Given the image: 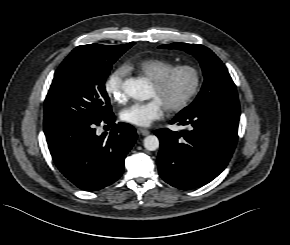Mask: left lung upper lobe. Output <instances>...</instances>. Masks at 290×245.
<instances>
[{
	"instance_id": "5c2ea615",
	"label": "left lung upper lobe",
	"mask_w": 290,
	"mask_h": 245,
	"mask_svg": "<svg viewBox=\"0 0 290 245\" xmlns=\"http://www.w3.org/2000/svg\"><path fill=\"white\" fill-rule=\"evenodd\" d=\"M159 48L179 49L192 54L199 62L204 74V83L196 99L177 115L195 109L213 107L231 114L240 113L236 86L227 68L207 47L198 44L172 43Z\"/></svg>"
}]
</instances>
